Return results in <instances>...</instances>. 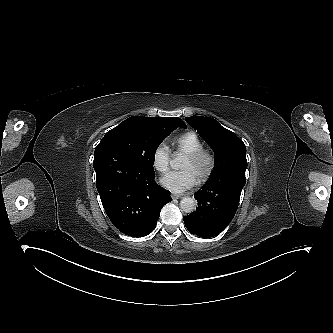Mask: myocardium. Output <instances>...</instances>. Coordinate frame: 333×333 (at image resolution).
<instances>
[{
	"mask_svg": "<svg viewBox=\"0 0 333 333\" xmlns=\"http://www.w3.org/2000/svg\"><path fill=\"white\" fill-rule=\"evenodd\" d=\"M182 164L193 171L198 182H203L213 170L214 159L207 151L198 150L184 157Z\"/></svg>",
	"mask_w": 333,
	"mask_h": 333,
	"instance_id": "1",
	"label": "myocardium"
}]
</instances>
